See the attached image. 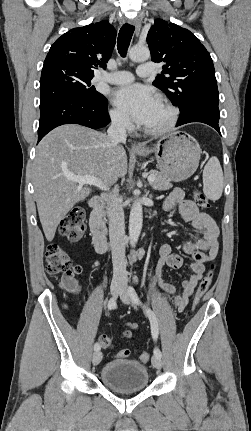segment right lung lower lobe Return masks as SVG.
Returning a JSON list of instances; mask_svg holds the SVG:
<instances>
[{"mask_svg":"<svg viewBox=\"0 0 251 431\" xmlns=\"http://www.w3.org/2000/svg\"><path fill=\"white\" fill-rule=\"evenodd\" d=\"M107 99L92 101L63 92H50L40 98L38 142L52 129L63 124H80L102 129L110 122Z\"/></svg>","mask_w":251,"mask_h":431,"instance_id":"obj_1","label":"right lung lower lobe"}]
</instances>
